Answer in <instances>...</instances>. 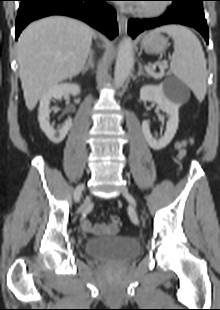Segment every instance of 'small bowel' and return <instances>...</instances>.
Wrapping results in <instances>:
<instances>
[{
    "label": "small bowel",
    "instance_id": "small-bowel-1",
    "mask_svg": "<svg viewBox=\"0 0 220 310\" xmlns=\"http://www.w3.org/2000/svg\"><path fill=\"white\" fill-rule=\"evenodd\" d=\"M192 142V139H185L178 141L175 145L178 158H182L185 155V148ZM82 229L89 234L98 235H112L116 232L113 226L107 224L94 225L87 217L82 219Z\"/></svg>",
    "mask_w": 220,
    "mask_h": 310
}]
</instances>
